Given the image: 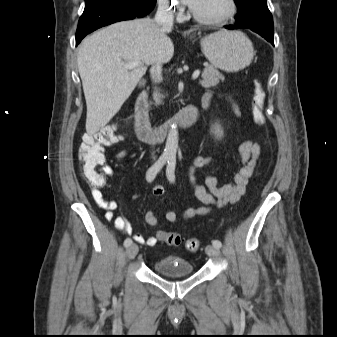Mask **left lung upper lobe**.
Instances as JSON below:
<instances>
[{"label":"left lung upper lobe","mask_w":337,"mask_h":337,"mask_svg":"<svg viewBox=\"0 0 337 337\" xmlns=\"http://www.w3.org/2000/svg\"><path fill=\"white\" fill-rule=\"evenodd\" d=\"M238 14L236 20L243 18L260 19L265 22H273L272 15L267 6V0H234Z\"/></svg>","instance_id":"1"}]
</instances>
